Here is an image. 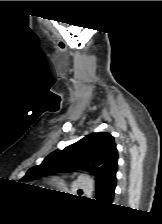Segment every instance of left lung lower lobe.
Here are the masks:
<instances>
[{
    "label": "left lung lower lobe",
    "instance_id": "obj_1",
    "mask_svg": "<svg viewBox=\"0 0 162 224\" xmlns=\"http://www.w3.org/2000/svg\"><path fill=\"white\" fill-rule=\"evenodd\" d=\"M116 171L111 173L102 184L97 186L96 200L98 202H104L111 204L114 196V190L116 187Z\"/></svg>",
    "mask_w": 162,
    "mask_h": 224
}]
</instances>
